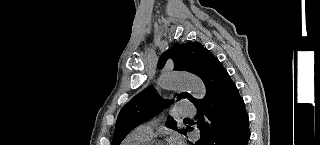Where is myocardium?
I'll list each match as a JSON object with an SVG mask.
<instances>
[{"mask_svg": "<svg viewBox=\"0 0 320 145\" xmlns=\"http://www.w3.org/2000/svg\"><path fill=\"white\" fill-rule=\"evenodd\" d=\"M146 145H162V143L159 141H150Z\"/></svg>", "mask_w": 320, "mask_h": 145, "instance_id": "1", "label": "myocardium"}]
</instances>
